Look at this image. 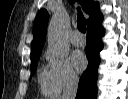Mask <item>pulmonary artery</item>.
Here are the masks:
<instances>
[{
    "mask_svg": "<svg viewBox=\"0 0 128 99\" xmlns=\"http://www.w3.org/2000/svg\"><path fill=\"white\" fill-rule=\"evenodd\" d=\"M71 41L75 46H82L85 43V38L80 32L74 31L71 37Z\"/></svg>",
    "mask_w": 128,
    "mask_h": 99,
    "instance_id": "1",
    "label": "pulmonary artery"
}]
</instances>
